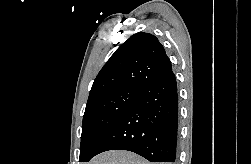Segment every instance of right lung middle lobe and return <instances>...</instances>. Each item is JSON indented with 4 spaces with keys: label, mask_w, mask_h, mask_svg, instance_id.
<instances>
[{
    "label": "right lung middle lobe",
    "mask_w": 251,
    "mask_h": 164,
    "mask_svg": "<svg viewBox=\"0 0 251 164\" xmlns=\"http://www.w3.org/2000/svg\"><path fill=\"white\" fill-rule=\"evenodd\" d=\"M139 88L123 87L101 94L87 102L80 145V162H85L100 138L136 101Z\"/></svg>",
    "instance_id": "obj_1"
}]
</instances>
